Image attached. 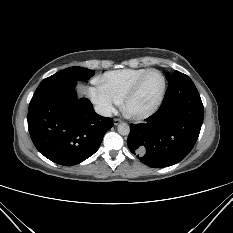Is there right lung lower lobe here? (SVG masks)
<instances>
[{"instance_id":"right-lung-lower-lobe-1","label":"right lung lower lobe","mask_w":233,"mask_h":233,"mask_svg":"<svg viewBox=\"0 0 233 233\" xmlns=\"http://www.w3.org/2000/svg\"><path fill=\"white\" fill-rule=\"evenodd\" d=\"M77 81L48 77L36 89L28 111L31 139L49 160L72 166L99 148L113 119L98 115L86 98H77Z\"/></svg>"}]
</instances>
